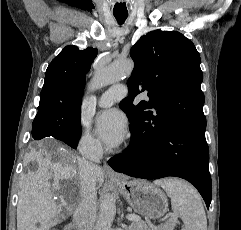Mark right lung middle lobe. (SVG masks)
Listing matches in <instances>:
<instances>
[{"label": "right lung middle lobe", "instance_id": "obj_1", "mask_svg": "<svg viewBox=\"0 0 241 230\" xmlns=\"http://www.w3.org/2000/svg\"><path fill=\"white\" fill-rule=\"evenodd\" d=\"M80 136V108H60L38 112L32 124V137L35 140L53 137L71 146L78 143Z\"/></svg>", "mask_w": 241, "mask_h": 230}]
</instances>
